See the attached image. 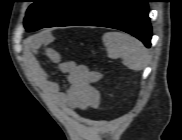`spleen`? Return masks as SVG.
<instances>
[{"label": "spleen", "mask_w": 182, "mask_h": 140, "mask_svg": "<svg viewBox=\"0 0 182 140\" xmlns=\"http://www.w3.org/2000/svg\"><path fill=\"white\" fill-rule=\"evenodd\" d=\"M108 57L122 58V63L134 71L145 69L149 62V53L136 38L120 32H108L102 37Z\"/></svg>", "instance_id": "obj_1"}]
</instances>
